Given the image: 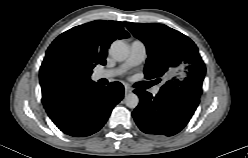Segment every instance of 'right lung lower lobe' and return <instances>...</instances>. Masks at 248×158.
Here are the masks:
<instances>
[{
    "instance_id": "right-lung-lower-lobe-1",
    "label": "right lung lower lobe",
    "mask_w": 248,
    "mask_h": 158,
    "mask_svg": "<svg viewBox=\"0 0 248 158\" xmlns=\"http://www.w3.org/2000/svg\"><path fill=\"white\" fill-rule=\"evenodd\" d=\"M124 95V87L112 82L108 88L95 82L82 88L58 92L42 99L54 124L65 134L89 136L102 128L114 106Z\"/></svg>"
}]
</instances>
